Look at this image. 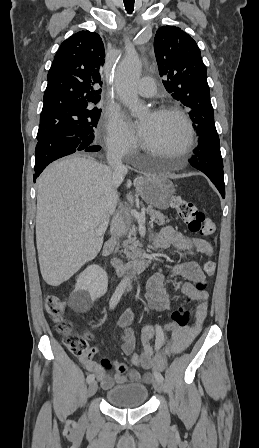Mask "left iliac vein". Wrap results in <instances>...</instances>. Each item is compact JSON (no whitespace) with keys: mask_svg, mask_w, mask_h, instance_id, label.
<instances>
[{"mask_svg":"<svg viewBox=\"0 0 259 448\" xmlns=\"http://www.w3.org/2000/svg\"><path fill=\"white\" fill-rule=\"evenodd\" d=\"M154 388L157 392H160V393L163 392V390H164L163 382L159 381V380H155Z\"/></svg>","mask_w":259,"mask_h":448,"instance_id":"obj_1","label":"left iliac vein"}]
</instances>
